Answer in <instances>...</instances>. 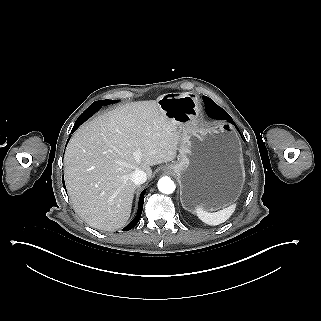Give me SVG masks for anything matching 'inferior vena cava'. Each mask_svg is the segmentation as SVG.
Returning a JSON list of instances; mask_svg holds the SVG:
<instances>
[{
  "label": "inferior vena cava",
  "instance_id": "obj_1",
  "mask_svg": "<svg viewBox=\"0 0 321 321\" xmlns=\"http://www.w3.org/2000/svg\"><path fill=\"white\" fill-rule=\"evenodd\" d=\"M130 176H131V180L137 185L143 184L147 180L146 173L143 170H139V169L134 170L130 174Z\"/></svg>",
  "mask_w": 321,
  "mask_h": 321
}]
</instances>
